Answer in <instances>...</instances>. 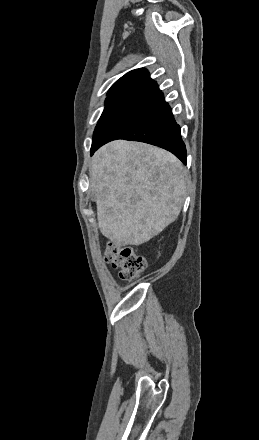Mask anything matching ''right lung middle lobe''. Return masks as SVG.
Here are the masks:
<instances>
[{
	"mask_svg": "<svg viewBox=\"0 0 259 440\" xmlns=\"http://www.w3.org/2000/svg\"><path fill=\"white\" fill-rule=\"evenodd\" d=\"M145 95V93L108 95L105 109L94 131L93 142L104 138L140 103Z\"/></svg>",
	"mask_w": 259,
	"mask_h": 440,
	"instance_id": "obj_1",
	"label": "right lung middle lobe"
}]
</instances>
